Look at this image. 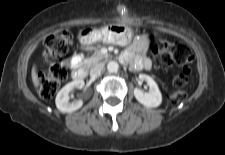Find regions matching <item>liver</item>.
<instances>
[{"instance_id": "liver-1", "label": "liver", "mask_w": 225, "mask_h": 155, "mask_svg": "<svg viewBox=\"0 0 225 155\" xmlns=\"http://www.w3.org/2000/svg\"><path fill=\"white\" fill-rule=\"evenodd\" d=\"M31 76H32L33 84L37 87L39 85V80H38V75L36 73L35 68L32 69Z\"/></svg>"}]
</instances>
